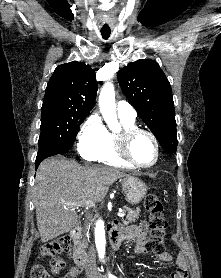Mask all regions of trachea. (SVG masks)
I'll list each match as a JSON object with an SVG mask.
<instances>
[{"label": "trachea", "instance_id": "1", "mask_svg": "<svg viewBox=\"0 0 221 278\" xmlns=\"http://www.w3.org/2000/svg\"><path fill=\"white\" fill-rule=\"evenodd\" d=\"M110 30H101V35L103 37V39L107 40L110 37Z\"/></svg>", "mask_w": 221, "mask_h": 278}]
</instances>
